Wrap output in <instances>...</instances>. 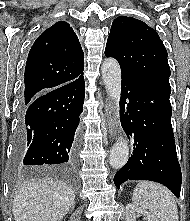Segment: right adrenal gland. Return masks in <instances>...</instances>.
<instances>
[{
  "instance_id": "right-adrenal-gland-1",
  "label": "right adrenal gland",
  "mask_w": 190,
  "mask_h": 221,
  "mask_svg": "<svg viewBox=\"0 0 190 221\" xmlns=\"http://www.w3.org/2000/svg\"><path fill=\"white\" fill-rule=\"evenodd\" d=\"M74 209V205L72 206V210Z\"/></svg>"
}]
</instances>
